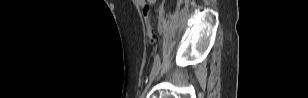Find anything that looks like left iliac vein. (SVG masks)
<instances>
[{
	"instance_id": "left-iliac-vein-1",
	"label": "left iliac vein",
	"mask_w": 308,
	"mask_h": 98,
	"mask_svg": "<svg viewBox=\"0 0 308 98\" xmlns=\"http://www.w3.org/2000/svg\"><path fill=\"white\" fill-rule=\"evenodd\" d=\"M156 76H157V72L154 73V74H152V75L150 76V78H149V83H148V85H147L145 91L143 92V97H144L145 93L147 92V90H148V88H149L151 82L155 79Z\"/></svg>"
}]
</instances>
